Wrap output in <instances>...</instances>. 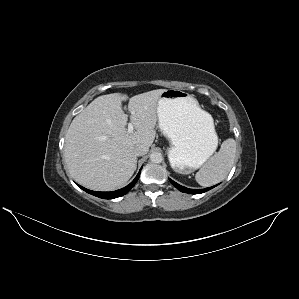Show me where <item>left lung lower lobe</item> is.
I'll list each match as a JSON object with an SVG mask.
<instances>
[{"label":"left lung lower lobe","instance_id":"left-lung-lower-lobe-1","mask_svg":"<svg viewBox=\"0 0 299 299\" xmlns=\"http://www.w3.org/2000/svg\"><path fill=\"white\" fill-rule=\"evenodd\" d=\"M170 182L178 189L180 190L181 192H184V193H189V194H200V193H204L210 189H212L213 187H209V188H205V189H188L186 187H183L179 184H177L176 182H174L173 180L170 179Z\"/></svg>","mask_w":299,"mask_h":299}]
</instances>
